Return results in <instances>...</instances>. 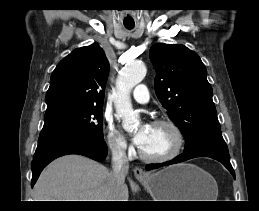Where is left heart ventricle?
<instances>
[{"mask_svg": "<svg viewBox=\"0 0 259 211\" xmlns=\"http://www.w3.org/2000/svg\"><path fill=\"white\" fill-rule=\"evenodd\" d=\"M173 135L166 127L150 126L148 136L140 147L148 155H162L171 150Z\"/></svg>", "mask_w": 259, "mask_h": 211, "instance_id": "b2bd125f", "label": "left heart ventricle"}]
</instances>
